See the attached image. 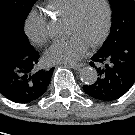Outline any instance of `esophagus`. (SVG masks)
<instances>
[{
    "label": "esophagus",
    "mask_w": 135,
    "mask_h": 135,
    "mask_svg": "<svg viewBox=\"0 0 135 135\" xmlns=\"http://www.w3.org/2000/svg\"><path fill=\"white\" fill-rule=\"evenodd\" d=\"M64 65L74 70H79L83 66V64H64Z\"/></svg>",
    "instance_id": "esophagus-1"
}]
</instances>
